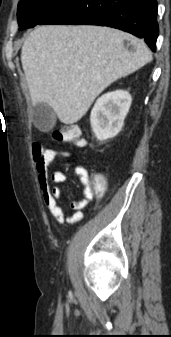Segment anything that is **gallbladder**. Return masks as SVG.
<instances>
[{"mask_svg":"<svg viewBox=\"0 0 171 337\" xmlns=\"http://www.w3.org/2000/svg\"><path fill=\"white\" fill-rule=\"evenodd\" d=\"M56 121L55 112L52 108L44 103L34 106V125L41 131L50 130Z\"/></svg>","mask_w":171,"mask_h":337,"instance_id":"gallbladder-1","label":"gallbladder"}]
</instances>
